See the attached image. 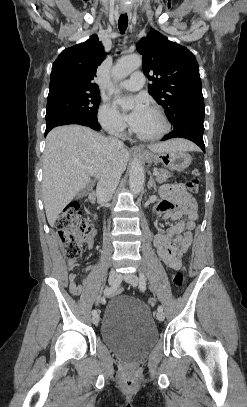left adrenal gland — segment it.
<instances>
[{
    "label": "left adrenal gland",
    "mask_w": 247,
    "mask_h": 407,
    "mask_svg": "<svg viewBox=\"0 0 247 407\" xmlns=\"http://www.w3.org/2000/svg\"><path fill=\"white\" fill-rule=\"evenodd\" d=\"M149 175H150V178H149L148 185H147L148 189L153 188L154 191H156V182L154 181L152 174L149 173Z\"/></svg>",
    "instance_id": "left-adrenal-gland-1"
}]
</instances>
